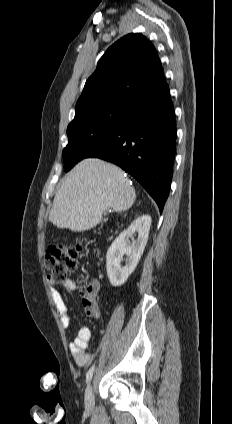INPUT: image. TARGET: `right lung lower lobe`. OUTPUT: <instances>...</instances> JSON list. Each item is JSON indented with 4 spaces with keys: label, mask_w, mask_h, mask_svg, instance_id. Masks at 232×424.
I'll return each instance as SVG.
<instances>
[{
    "label": "right lung lower lobe",
    "mask_w": 232,
    "mask_h": 424,
    "mask_svg": "<svg viewBox=\"0 0 232 424\" xmlns=\"http://www.w3.org/2000/svg\"><path fill=\"white\" fill-rule=\"evenodd\" d=\"M176 122L165 83L131 106L127 122L86 158H100L131 174L157 203L169 194L175 157Z\"/></svg>",
    "instance_id": "1"
}]
</instances>
